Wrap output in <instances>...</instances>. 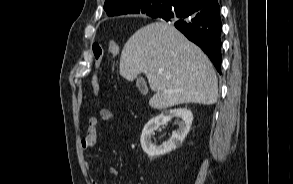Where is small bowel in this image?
Here are the masks:
<instances>
[{
	"label": "small bowel",
	"mask_w": 293,
	"mask_h": 184,
	"mask_svg": "<svg viewBox=\"0 0 293 184\" xmlns=\"http://www.w3.org/2000/svg\"><path fill=\"white\" fill-rule=\"evenodd\" d=\"M100 120L106 121V122H111L115 120L119 122L123 121L121 117L115 115L111 110L101 109L99 111V117H91L88 121V128H87L86 134L81 140V147L84 151L90 149L96 143ZM87 166H89V164H87ZM108 172L110 176H112L113 178H115L118 175V169L116 167H110ZM92 184H101V183L98 180L93 179Z\"/></svg>",
	"instance_id": "obj_1"
}]
</instances>
